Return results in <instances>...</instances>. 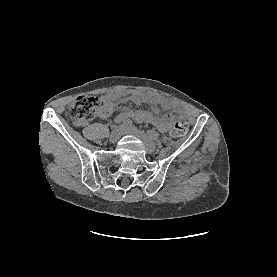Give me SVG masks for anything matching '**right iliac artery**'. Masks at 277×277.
<instances>
[{
  "label": "right iliac artery",
  "instance_id": "right-iliac-artery-1",
  "mask_svg": "<svg viewBox=\"0 0 277 277\" xmlns=\"http://www.w3.org/2000/svg\"><path fill=\"white\" fill-rule=\"evenodd\" d=\"M117 123H121V121H117ZM132 126V121L131 120H125L123 121L121 128H128Z\"/></svg>",
  "mask_w": 277,
  "mask_h": 277
}]
</instances>
